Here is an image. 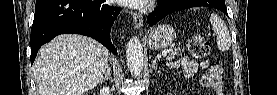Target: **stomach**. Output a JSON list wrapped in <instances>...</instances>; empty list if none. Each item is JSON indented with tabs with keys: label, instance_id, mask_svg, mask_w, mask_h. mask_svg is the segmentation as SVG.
<instances>
[{
	"label": "stomach",
	"instance_id": "1",
	"mask_svg": "<svg viewBox=\"0 0 277 95\" xmlns=\"http://www.w3.org/2000/svg\"><path fill=\"white\" fill-rule=\"evenodd\" d=\"M176 39L174 28L167 24H160L149 30L147 35V43L152 50H161L171 45Z\"/></svg>",
	"mask_w": 277,
	"mask_h": 95
}]
</instances>
